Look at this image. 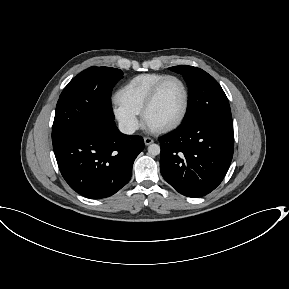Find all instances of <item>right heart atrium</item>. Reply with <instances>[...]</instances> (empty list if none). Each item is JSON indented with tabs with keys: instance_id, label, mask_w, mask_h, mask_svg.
Listing matches in <instances>:
<instances>
[{
	"instance_id": "right-heart-atrium-1",
	"label": "right heart atrium",
	"mask_w": 289,
	"mask_h": 289,
	"mask_svg": "<svg viewBox=\"0 0 289 289\" xmlns=\"http://www.w3.org/2000/svg\"><path fill=\"white\" fill-rule=\"evenodd\" d=\"M112 111L115 119L124 132L132 134L138 129L140 124L138 114L127 109L119 102L114 103Z\"/></svg>"
}]
</instances>
